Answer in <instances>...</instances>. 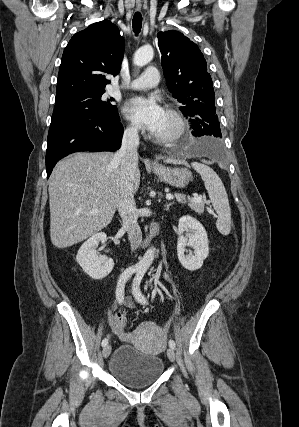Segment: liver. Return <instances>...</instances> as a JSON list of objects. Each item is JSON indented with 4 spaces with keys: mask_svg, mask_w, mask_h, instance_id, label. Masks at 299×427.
I'll return each instance as SVG.
<instances>
[{
    "mask_svg": "<svg viewBox=\"0 0 299 427\" xmlns=\"http://www.w3.org/2000/svg\"><path fill=\"white\" fill-rule=\"evenodd\" d=\"M112 152H78L59 161L49 183L50 238L66 248L105 228L116 212L121 187L120 161ZM172 164L185 160L163 158ZM140 171L134 175V191Z\"/></svg>",
    "mask_w": 299,
    "mask_h": 427,
    "instance_id": "6515ba94",
    "label": "liver"
}]
</instances>
